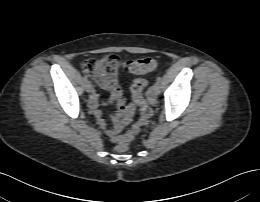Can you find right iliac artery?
I'll return each mask as SVG.
<instances>
[{"label": "right iliac artery", "mask_w": 260, "mask_h": 202, "mask_svg": "<svg viewBox=\"0 0 260 202\" xmlns=\"http://www.w3.org/2000/svg\"><path fill=\"white\" fill-rule=\"evenodd\" d=\"M84 82L87 83L88 82V79L87 77H84Z\"/></svg>", "instance_id": "1"}]
</instances>
